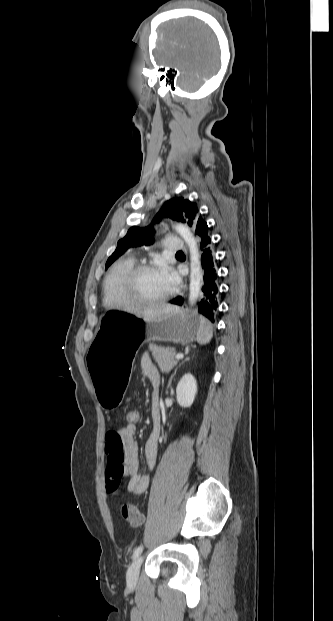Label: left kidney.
<instances>
[{
  "mask_svg": "<svg viewBox=\"0 0 333 621\" xmlns=\"http://www.w3.org/2000/svg\"><path fill=\"white\" fill-rule=\"evenodd\" d=\"M177 401L182 407H190L197 394V383L192 374H185L176 388Z\"/></svg>",
  "mask_w": 333,
  "mask_h": 621,
  "instance_id": "1",
  "label": "left kidney"
}]
</instances>
